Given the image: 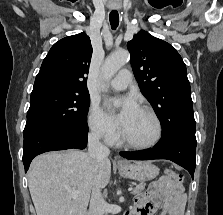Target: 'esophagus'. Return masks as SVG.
Listing matches in <instances>:
<instances>
[{
    "instance_id": "esophagus-1",
    "label": "esophagus",
    "mask_w": 223,
    "mask_h": 215,
    "mask_svg": "<svg viewBox=\"0 0 223 215\" xmlns=\"http://www.w3.org/2000/svg\"><path fill=\"white\" fill-rule=\"evenodd\" d=\"M114 163L117 165V167H123L124 165H126V162L122 159H120V157H114Z\"/></svg>"
}]
</instances>
